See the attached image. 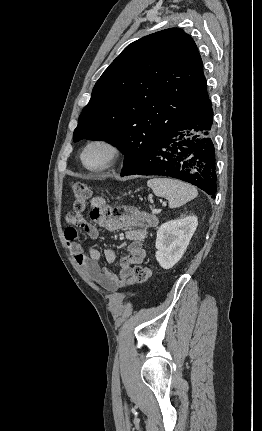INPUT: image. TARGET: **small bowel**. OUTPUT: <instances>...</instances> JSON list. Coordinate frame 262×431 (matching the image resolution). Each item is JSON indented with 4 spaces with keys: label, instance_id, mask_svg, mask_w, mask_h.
<instances>
[{
    "label": "small bowel",
    "instance_id": "obj_1",
    "mask_svg": "<svg viewBox=\"0 0 262 431\" xmlns=\"http://www.w3.org/2000/svg\"><path fill=\"white\" fill-rule=\"evenodd\" d=\"M104 204V199L100 196H95L90 200L93 220L108 231L123 230L127 241V253L123 256L119 274L109 271L100 263L101 255L96 248H89L87 253L84 252L77 242V226L80 222L75 223L70 216L66 218L68 227L65 230V239L82 272L95 284L109 292L116 293L130 278L131 265L140 263L144 259L146 254L144 241L148 236L149 228L157 224V219L139 210L127 208L118 209L115 216L110 217ZM83 228L93 235L97 234V231L91 226L85 225ZM104 255L111 264H114L118 257L116 251L111 248L106 249Z\"/></svg>",
    "mask_w": 262,
    "mask_h": 431
}]
</instances>
